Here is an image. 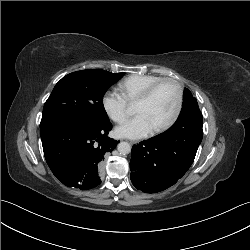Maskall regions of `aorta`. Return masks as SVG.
I'll return each mask as SVG.
<instances>
[{
	"label": "aorta",
	"mask_w": 250,
	"mask_h": 250,
	"mask_svg": "<svg viewBox=\"0 0 250 250\" xmlns=\"http://www.w3.org/2000/svg\"><path fill=\"white\" fill-rule=\"evenodd\" d=\"M117 149H118L120 154L126 155V154L130 153L131 146L128 142H120L117 146Z\"/></svg>",
	"instance_id": "762f6f07"
}]
</instances>
